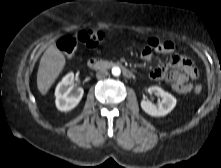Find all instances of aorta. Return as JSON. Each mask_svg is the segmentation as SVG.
Here are the masks:
<instances>
[{
	"label": "aorta",
	"mask_w": 221,
	"mask_h": 168,
	"mask_svg": "<svg viewBox=\"0 0 221 168\" xmlns=\"http://www.w3.org/2000/svg\"><path fill=\"white\" fill-rule=\"evenodd\" d=\"M113 76H119L121 74V69L118 66L112 68Z\"/></svg>",
	"instance_id": "obj_1"
}]
</instances>
